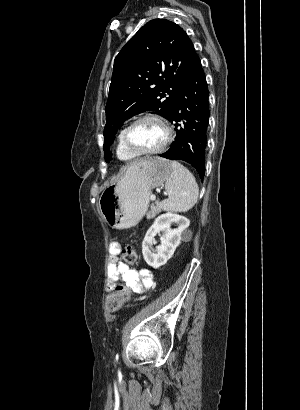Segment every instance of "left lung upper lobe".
<instances>
[{
	"mask_svg": "<svg viewBox=\"0 0 300 410\" xmlns=\"http://www.w3.org/2000/svg\"><path fill=\"white\" fill-rule=\"evenodd\" d=\"M192 41L174 22L154 19L127 42L114 60L104 129V156L125 120L146 110L168 119L178 89L195 58Z\"/></svg>",
	"mask_w": 300,
	"mask_h": 410,
	"instance_id": "5c2ea615",
	"label": "left lung upper lobe"
}]
</instances>
